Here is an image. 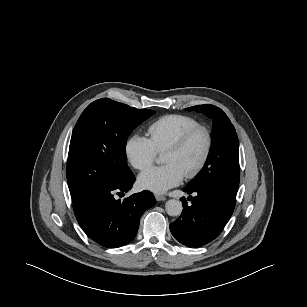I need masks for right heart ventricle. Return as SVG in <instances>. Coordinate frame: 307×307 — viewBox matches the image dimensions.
<instances>
[{"label": "right heart ventricle", "instance_id": "right-heart-ventricle-1", "mask_svg": "<svg viewBox=\"0 0 307 307\" xmlns=\"http://www.w3.org/2000/svg\"><path fill=\"white\" fill-rule=\"evenodd\" d=\"M197 125L199 122L191 116L170 114L151 123L147 133L156 152L163 153L181 134Z\"/></svg>", "mask_w": 307, "mask_h": 307}]
</instances>
